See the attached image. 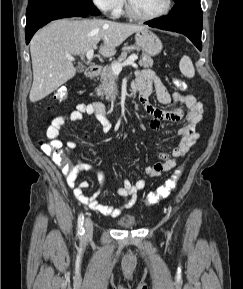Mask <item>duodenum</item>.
Segmentation results:
<instances>
[{
    "label": "duodenum",
    "mask_w": 243,
    "mask_h": 289,
    "mask_svg": "<svg viewBox=\"0 0 243 289\" xmlns=\"http://www.w3.org/2000/svg\"><path fill=\"white\" fill-rule=\"evenodd\" d=\"M100 72V67L99 66H90L87 68L86 72H85V75L87 78H94L96 77ZM118 106H115V109H117Z\"/></svg>",
    "instance_id": "1"
}]
</instances>
